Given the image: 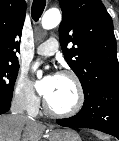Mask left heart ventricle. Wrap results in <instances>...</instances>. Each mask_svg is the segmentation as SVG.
<instances>
[{"instance_id": "obj_1", "label": "left heart ventricle", "mask_w": 119, "mask_h": 141, "mask_svg": "<svg viewBox=\"0 0 119 141\" xmlns=\"http://www.w3.org/2000/svg\"><path fill=\"white\" fill-rule=\"evenodd\" d=\"M77 93L73 82L58 75L51 93L46 97L50 107L58 111L72 108L76 102Z\"/></svg>"}]
</instances>
